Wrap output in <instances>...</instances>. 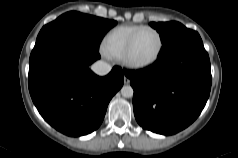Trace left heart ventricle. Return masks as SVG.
Here are the masks:
<instances>
[{"mask_svg": "<svg viewBox=\"0 0 238 158\" xmlns=\"http://www.w3.org/2000/svg\"><path fill=\"white\" fill-rule=\"evenodd\" d=\"M158 48L159 38L157 34L146 30L138 36L131 53V59L134 62L149 61L156 55Z\"/></svg>", "mask_w": 238, "mask_h": 158, "instance_id": "b2bd125f", "label": "left heart ventricle"}]
</instances>
